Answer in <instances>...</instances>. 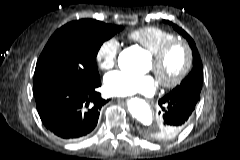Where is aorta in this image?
<instances>
[{"label":"aorta","instance_id":"obj_1","mask_svg":"<svg viewBox=\"0 0 240 160\" xmlns=\"http://www.w3.org/2000/svg\"><path fill=\"white\" fill-rule=\"evenodd\" d=\"M128 56L134 68L138 69L142 62V51L136 48H130L121 53L119 57L120 64L124 58ZM128 110L138 121L145 126H150L153 123V113L149 105L142 99L131 98L127 102Z\"/></svg>","mask_w":240,"mask_h":160}]
</instances>
